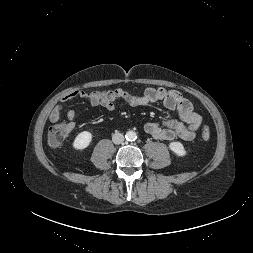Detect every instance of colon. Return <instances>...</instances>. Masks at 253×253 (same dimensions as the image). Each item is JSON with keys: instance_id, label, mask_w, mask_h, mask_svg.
Listing matches in <instances>:
<instances>
[{"instance_id": "1", "label": "colon", "mask_w": 253, "mask_h": 253, "mask_svg": "<svg viewBox=\"0 0 253 253\" xmlns=\"http://www.w3.org/2000/svg\"><path fill=\"white\" fill-rule=\"evenodd\" d=\"M72 127L69 123H59L50 127L48 131V143L53 147L60 146L69 136ZM211 132L208 126H204L201 131V136L204 140L210 138Z\"/></svg>"}]
</instances>
